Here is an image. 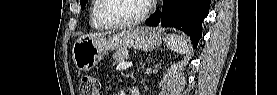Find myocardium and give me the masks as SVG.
Segmentation results:
<instances>
[{"label":"myocardium","instance_id":"myocardium-1","mask_svg":"<svg viewBox=\"0 0 277 95\" xmlns=\"http://www.w3.org/2000/svg\"><path fill=\"white\" fill-rule=\"evenodd\" d=\"M107 1L108 0L100 1V4L94 11V16L99 22L103 23L105 26H108V27H121V26H130V25L139 24L148 16V14L150 12L149 2L147 0H143L145 3L144 9H143L142 13L140 15H138L137 17L131 18V19L108 18L105 15H103L101 12L102 8L105 6V3Z\"/></svg>","mask_w":277,"mask_h":95}]
</instances>
